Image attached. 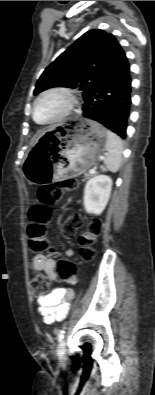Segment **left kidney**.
Returning <instances> with one entry per match:
<instances>
[{"label":"left kidney","mask_w":155,"mask_h":395,"mask_svg":"<svg viewBox=\"0 0 155 395\" xmlns=\"http://www.w3.org/2000/svg\"><path fill=\"white\" fill-rule=\"evenodd\" d=\"M112 179L107 175L90 178L84 188L83 204L87 213L101 214L110 198Z\"/></svg>","instance_id":"obj_1"}]
</instances>
